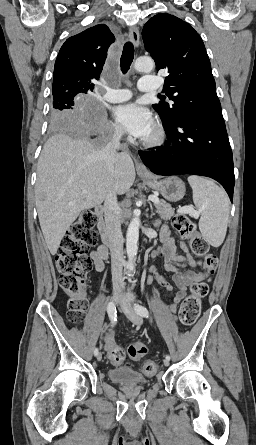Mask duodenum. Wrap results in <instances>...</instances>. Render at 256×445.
Returning a JSON list of instances; mask_svg holds the SVG:
<instances>
[{"label": "duodenum", "instance_id": "obj_1", "mask_svg": "<svg viewBox=\"0 0 256 445\" xmlns=\"http://www.w3.org/2000/svg\"><path fill=\"white\" fill-rule=\"evenodd\" d=\"M104 212H105V209L103 206L95 207V213H96V217H97L96 226H97L98 233H99L102 241L105 244H108L109 237H108L106 224L104 221Z\"/></svg>", "mask_w": 256, "mask_h": 445}]
</instances>
